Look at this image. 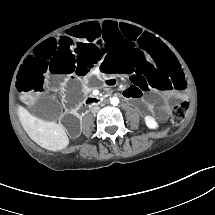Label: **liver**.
<instances>
[{"instance_id": "obj_1", "label": "liver", "mask_w": 215, "mask_h": 215, "mask_svg": "<svg viewBox=\"0 0 215 215\" xmlns=\"http://www.w3.org/2000/svg\"><path fill=\"white\" fill-rule=\"evenodd\" d=\"M18 116L29 137L40 146L50 150L67 146L69 139L62 125L37 119L22 107L18 109Z\"/></svg>"}]
</instances>
